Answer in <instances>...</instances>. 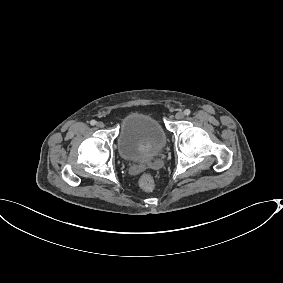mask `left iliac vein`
<instances>
[{"label": "left iliac vein", "instance_id": "left-iliac-vein-1", "mask_svg": "<svg viewBox=\"0 0 283 283\" xmlns=\"http://www.w3.org/2000/svg\"><path fill=\"white\" fill-rule=\"evenodd\" d=\"M184 113L183 112H177L176 114H175V118L177 119V120H180V119H183L184 118Z\"/></svg>", "mask_w": 283, "mask_h": 283}]
</instances>
